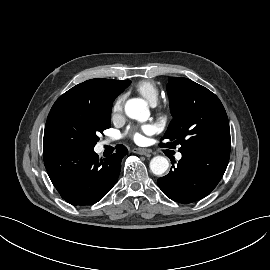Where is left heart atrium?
I'll return each mask as SVG.
<instances>
[{
  "mask_svg": "<svg viewBox=\"0 0 270 270\" xmlns=\"http://www.w3.org/2000/svg\"><path fill=\"white\" fill-rule=\"evenodd\" d=\"M155 131V126L153 124H145L142 126L140 130H135L132 132V138L136 142H140L142 140V133L151 134Z\"/></svg>",
  "mask_w": 270,
  "mask_h": 270,
  "instance_id": "1",
  "label": "left heart atrium"
}]
</instances>
